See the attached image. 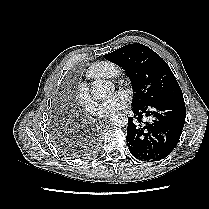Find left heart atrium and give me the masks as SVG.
Returning <instances> with one entry per match:
<instances>
[{
    "instance_id": "obj_1",
    "label": "left heart atrium",
    "mask_w": 209,
    "mask_h": 209,
    "mask_svg": "<svg viewBox=\"0 0 209 209\" xmlns=\"http://www.w3.org/2000/svg\"><path fill=\"white\" fill-rule=\"evenodd\" d=\"M129 103V96L123 91L116 92L110 99L99 106L98 116L106 118L114 115Z\"/></svg>"
}]
</instances>
